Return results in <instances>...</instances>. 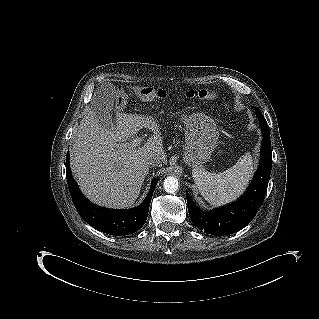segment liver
I'll use <instances>...</instances> for the list:
<instances>
[{
	"label": "liver",
	"mask_w": 319,
	"mask_h": 319,
	"mask_svg": "<svg viewBox=\"0 0 319 319\" xmlns=\"http://www.w3.org/2000/svg\"><path fill=\"white\" fill-rule=\"evenodd\" d=\"M142 128L154 132L144 146L122 145ZM159 129L150 117L120 112L108 128L88 106L70 151L72 174L84 195L107 208L132 206L149 173L147 159L159 155L166 160Z\"/></svg>",
	"instance_id": "1"
}]
</instances>
